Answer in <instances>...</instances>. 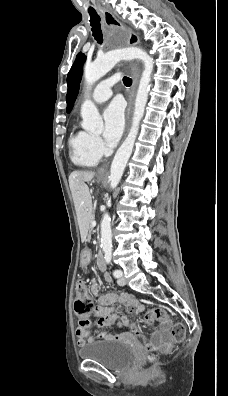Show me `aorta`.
<instances>
[{"instance_id": "1", "label": "aorta", "mask_w": 228, "mask_h": 396, "mask_svg": "<svg viewBox=\"0 0 228 396\" xmlns=\"http://www.w3.org/2000/svg\"><path fill=\"white\" fill-rule=\"evenodd\" d=\"M140 59L144 63V70L139 82L135 107L129 133L117 150L110 169V186L114 189L124 172L126 164L132 154L134 143L139 131L140 121L145 112L150 91L151 74L154 67L153 58L138 47H125L107 52L84 68V78L88 87L108 73L120 60ZM82 127L93 133L103 130V120L90 99H86L81 106ZM101 247L104 252L112 248L111 218L105 213L101 221Z\"/></svg>"}]
</instances>
